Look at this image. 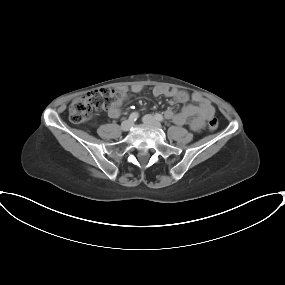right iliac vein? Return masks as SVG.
Wrapping results in <instances>:
<instances>
[{
    "label": "right iliac vein",
    "instance_id": "right-iliac-vein-1",
    "mask_svg": "<svg viewBox=\"0 0 285 285\" xmlns=\"http://www.w3.org/2000/svg\"><path fill=\"white\" fill-rule=\"evenodd\" d=\"M133 126V122L130 120H125L121 124L122 131H128Z\"/></svg>",
    "mask_w": 285,
    "mask_h": 285
}]
</instances>
